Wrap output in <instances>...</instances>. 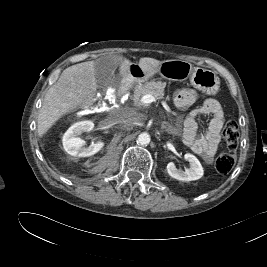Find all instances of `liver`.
<instances>
[{
  "mask_svg": "<svg viewBox=\"0 0 267 267\" xmlns=\"http://www.w3.org/2000/svg\"><path fill=\"white\" fill-rule=\"evenodd\" d=\"M97 62L98 60L87 61L66 68L58 81L49 88L37 120V130L40 137H43L64 115L81 107H93L97 91ZM161 63L154 58L143 57L140 58L138 65L148 79L158 72ZM118 65L123 80H130L132 62L124 58L120 60Z\"/></svg>",
  "mask_w": 267,
  "mask_h": 267,
  "instance_id": "liver-1",
  "label": "liver"
}]
</instances>
